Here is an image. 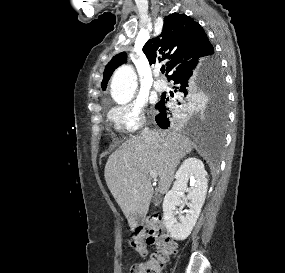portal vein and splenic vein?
I'll list each match as a JSON object with an SVG mask.
<instances>
[{
  "label": "portal vein and splenic vein",
  "instance_id": "portal-vein-and-splenic-vein-1",
  "mask_svg": "<svg viewBox=\"0 0 285 273\" xmlns=\"http://www.w3.org/2000/svg\"><path fill=\"white\" fill-rule=\"evenodd\" d=\"M149 175H150V177L153 178V179H156L157 176H158L157 172H156V171H153V170H151V171L149 172Z\"/></svg>",
  "mask_w": 285,
  "mask_h": 273
}]
</instances>
